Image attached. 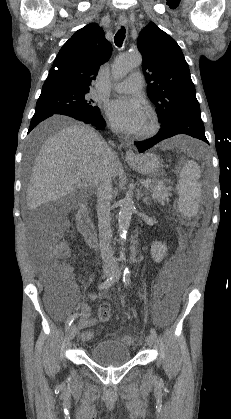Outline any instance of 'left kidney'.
I'll return each instance as SVG.
<instances>
[{
    "instance_id": "left-kidney-1",
    "label": "left kidney",
    "mask_w": 231,
    "mask_h": 419,
    "mask_svg": "<svg viewBox=\"0 0 231 419\" xmlns=\"http://www.w3.org/2000/svg\"><path fill=\"white\" fill-rule=\"evenodd\" d=\"M167 246L165 243L153 242L151 245V256L153 260L159 263L166 255Z\"/></svg>"
}]
</instances>
